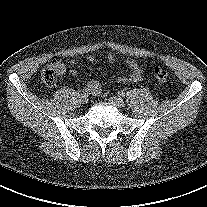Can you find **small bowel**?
Wrapping results in <instances>:
<instances>
[{"mask_svg": "<svg viewBox=\"0 0 207 207\" xmlns=\"http://www.w3.org/2000/svg\"><path fill=\"white\" fill-rule=\"evenodd\" d=\"M85 59L90 63L96 62V58L94 56H86ZM107 61L109 63L114 62V56L109 55L107 57ZM75 63H76V60H71V61H69L68 65L71 66ZM125 63H126V66L130 70V74L128 76L118 77L117 82L118 83H133V82L140 81L143 77V71H142L141 67L139 66V64L134 59H131V58L126 59ZM61 68H62V72H61V75H62L65 71V66L63 64H61ZM69 73L72 76L77 75V71L75 69H71L69 71ZM87 89L93 95H98L102 91L101 85L98 82L94 81V80H91V81L88 82Z\"/></svg>", "mask_w": 207, "mask_h": 207, "instance_id": "c3829d8e", "label": "small bowel"}]
</instances>
